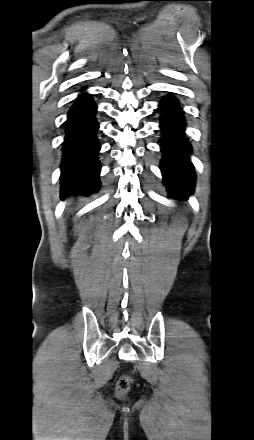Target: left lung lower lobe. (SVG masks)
I'll use <instances>...</instances> for the list:
<instances>
[{"label":"left lung lower lobe","instance_id":"left-lung-lower-lobe-1","mask_svg":"<svg viewBox=\"0 0 254 440\" xmlns=\"http://www.w3.org/2000/svg\"><path fill=\"white\" fill-rule=\"evenodd\" d=\"M162 111L160 128L163 139L161 142L163 158L160 169L163 173L164 184L170 196L184 199L194 189V166L187 159L192 150L185 139V124L181 113L180 103L172 96L163 98L159 105Z\"/></svg>","mask_w":254,"mask_h":440}]
</instances>
